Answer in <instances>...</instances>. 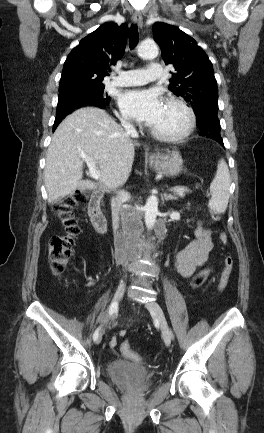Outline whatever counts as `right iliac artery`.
<instances>
[{"mask_svg": "<svg viewBox=\"0 0 264 433\" xmlns=\"http://www.w3.org/2000/svg\"><path fill=\"white\" fill-rule=\"evenodd\" d=\"M117 308H118V304H117L116 302H113V303L110 305L109 309H108V316H111L114 312H116V311H117ZM100 329H101V326H99V327L96 329V331L94 332V334H93V340H94V341L97 340V338H98V336H99V331H100Z\"/></svg>", "mask_w": 264, "mask_h": 433, "instance_id": "right-iliac-artery-1", "label": "right iliac artery"}]
</instances>
